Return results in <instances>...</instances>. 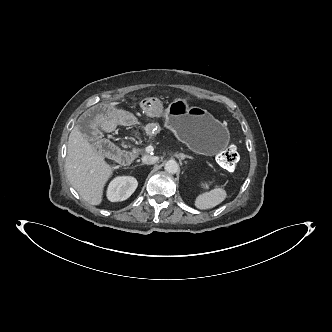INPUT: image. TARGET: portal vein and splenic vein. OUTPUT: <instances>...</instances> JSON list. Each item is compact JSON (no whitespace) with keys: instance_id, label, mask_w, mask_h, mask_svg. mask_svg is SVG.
I'll return each mask as SVG.
<instances>
[{"instance_id":"obj_1","label":"portal vein and splenic vein","mask_w":332,"mask_h":332,"mask_svg":"<svg viewBox=\"0 0 332 332\" xmlns=\"http://www.w3.org/2000/svg\"><path fill=\"white\" fill-rule=\"evenodd\" d=\"M146 149H147L148 151H153V150H154L153 146H148Z\"/></svg>"}]
</instances>
